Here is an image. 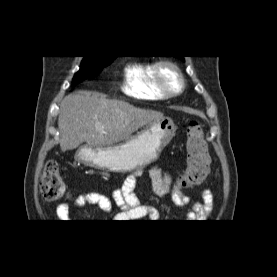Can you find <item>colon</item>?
<instances>
[{"label": "colon", "instance_id": "obj_1", "mask_svg": "<svg viewBox=\"0 0 277 277\" xmlns=\"http://www.w3.org/2000/svg\"><path fill=\"white\" fill-rule=\"evenodd\" d=\"M186 153V168L182 183L198 185L208 176L210 160L204 130L196 120L191 121L187 127ZM40 192L47 201H57L66 196V185L57 162L46 163L40 180Z\"/></svg>", "mask_w": 277, "mask_h": 277}]
</instances>
